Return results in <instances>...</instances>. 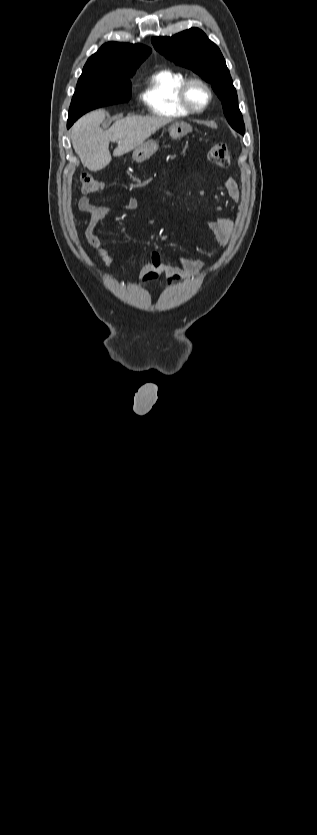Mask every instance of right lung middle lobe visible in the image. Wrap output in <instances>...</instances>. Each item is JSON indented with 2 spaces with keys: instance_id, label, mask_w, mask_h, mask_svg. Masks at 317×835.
Instances as JSON below:
<instances>
[{
  "instance_id": "dd1d6c3e",
  "label": "right lung middle lobe",
  "mask_w": 317,
  "mask_h": 835,
  "mask_svg": "<svg viewBox=\"0 0 317 835\" xmlns=\"http://www.w3.org/2000/svg\"><path fill=\"white\" fill-rule=\"evenodd\" d=\"M136 69L107 73H88L80 76L69 109L67 127L86 112L127 102L131 97V82Z\"/></svg>"
}]
</instances>
